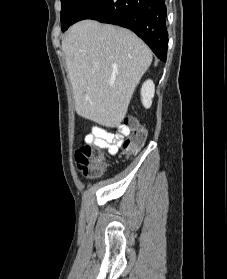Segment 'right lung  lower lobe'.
Here are the masks:
<instances>
[{"label":"right lung lower lobe","instance_id":"obj_1","mask_svg":"<svg viewBox=\"0 0 227 279\" xmlns=\"http://www.w3.org/2000/svg\"><path fill=\"white\" fill-rule=\"evenodd\" d=\"M165 0H84L73 24L83 19L98 20L135 32L162 61H166L168 32Z\"/></svg>","mask_w":227,"mask_h":279}]
</instances>
